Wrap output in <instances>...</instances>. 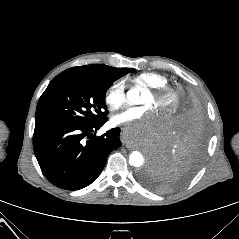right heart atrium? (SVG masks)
Wrapping results in <instances>:
<instances>
[{"label": "right heart atrium", "mask_w": 239, "mask_h": 239, "mask_svg": "<svg viewBox=\"0 0 239 239\" xmlns=\"http://www.w3.org/2000/svg\"><path fill=\"white\" fill-rule=\"evenodd\" d=\"M126 91L127 86L123 80L114 81L105 92L104 101L106 105L112 110L123 106L126 101Z\"/></svg>", "instance_id": "d8ad5b80"}]
</instances>
